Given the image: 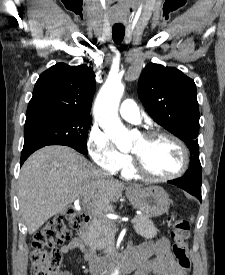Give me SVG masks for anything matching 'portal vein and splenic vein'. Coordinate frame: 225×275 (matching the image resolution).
<instances>
[{
    "label": "portal vein and splenic vein",
    "mask_w": 225,
    "mask_h": 275,
    "mask_svg": "<svg viewBox=\"0 0 225 275\" xmlns=\"http://www.w3.org/2000/svg\"><path fill=\"white\" fill-rule=\"evenodd\" d=\"M84 204H85L87 207H92V206H93V205L90 203L89 198H86V199L84 200ZM131 222H132V223H136V222H137V218H133V219L131 220Z\"/></svg>",
    "instance_id": "1"
}]
</instances>
